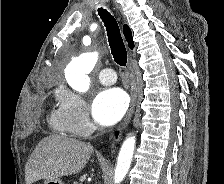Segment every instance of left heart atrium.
Segmentation results:
<instances>
[{
	"label": "left heart atrium",
	"instance_id": "39dd6f15",
	"mask_svg": "<svg viewBox=\"0 0 224 184\" xmlns=\"http://www.w3.org/2000/svg\"><path fill=\"white\" fill-rule=\"evenodd\" d=\"M128 106L127 95L118 88L100 92L93 101L92 114L95 121L103 126L118 122Z\"/></svg>",
	"mask_w": 224,
	"mask_h": 184
}]
</instances>
